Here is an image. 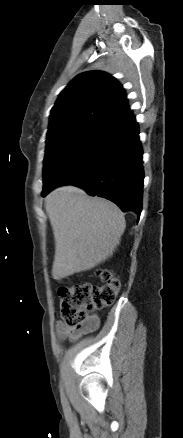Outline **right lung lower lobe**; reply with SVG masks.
I'll return each instance as SVG.
<instances>
[{"mask_svg":"<svg viewBox=\"0 0 183 438\" xmlns=\"http://www.w3.org/2000/svg\"><path fill=\"white\" fill-rule=\"evenodd\" d=\"M138 134L131 111L103 124L43 188L42 196L58 186L75 185L140 216L144 170Z\"/></svg>","mask_w":183,"mask_h":438,"instance_id":"98d812e1","label":"right lung lower lobe"}]
</instances>
